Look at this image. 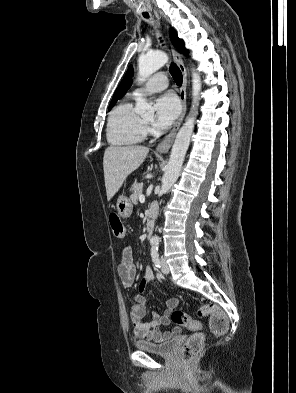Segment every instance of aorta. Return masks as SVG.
I'll use <instances>...</instances> for the list:
<instances>
[{"label": "aorta", "instance_id": "762f6f07", "mask_svg": "<svg viewBox=\"0 0 296 393\" xmlns=\"http://www.w3.org/2000/svg\"><path fill=\"white\" fill-rule=\"evenodd\" d=\"M167 61V55L161 51L142 54L138 60V80L140 82L145 81L150 75L164 66ZM201 87L202 84L200 75L193 71L191 113L176 135L170 158L162 178L161 192L164 194L169 192L180 175L185 155L190 144V138L194 130ZM135 110L138 114L153 113L151 105H149L145 99H140L136 102ZM153 240L158 242L159 237L154 236Z\"/></svg>", "mask_w": 296, "mask_h": 393}]
</instances>
